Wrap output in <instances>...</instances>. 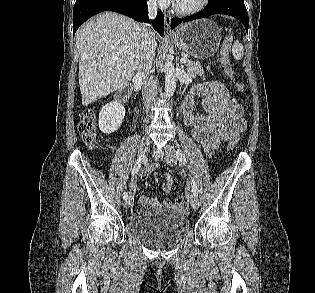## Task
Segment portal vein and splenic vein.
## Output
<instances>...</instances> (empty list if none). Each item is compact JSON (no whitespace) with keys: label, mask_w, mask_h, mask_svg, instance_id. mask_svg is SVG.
<instances>
[{"label":"portal vein and splenic vein","mask_w":315,"mask_h":293,"mask_svg":"<svg viewBox=\"0 0 315 293\" xmlns=\"http://www.w3.org/2000/svg\"><path fill=\"white\" fill-rule=\"evenodd\" d=\"M187 59L185 57L181 58L180 62L181 63H186Z\"/></svg>","instance_id":"obj_1"}]
</instances>
